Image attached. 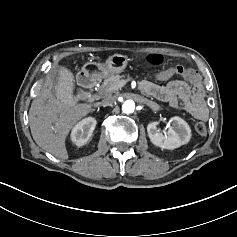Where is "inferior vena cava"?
I'll use <instances>...</instances> for the list:
<instances>
[{"label":"inferior vena cava","instance_id":"1","mask_svg":"<svg viewBox=\"0 0 237 237\" xmlns=\"http://www.w3.org/2000/svg\"><path fill=\"white\" fill-rule=\"evenodd\" d=\"M116 102V97L108 95L102 100L103 106H110Z\"/></svg>","mask_w":237,"mask_h":237}]
</instances>
